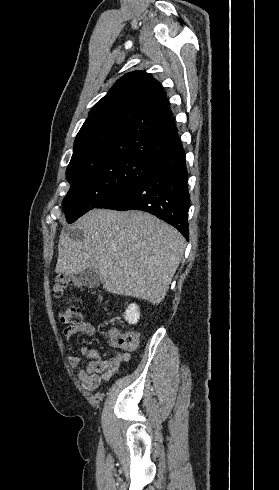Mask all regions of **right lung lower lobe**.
<instances>
[{"label": "right lung lower lobe", "mask_w": 279, "mask_h": 490, "mask_svg": "<svg viewBox=\"0 0 279 490\" xmlns=\"http://www.w3.org/2000/svg\"><path fill=\"white\" fill-rule=\"evenodd\" d=\"M187 177L181 145L155 160L143 177L113 192L96 208L149 212L174 226L189 240Z\"/></svg>", "instance_id": "obj_1"}]
</instances>
